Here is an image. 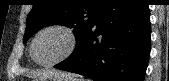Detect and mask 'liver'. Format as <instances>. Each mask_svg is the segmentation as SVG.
I'll return each instance as SVG.
<instances>
[{"label":"liver","mask_w":169,"mask_h":81,"mask_svg":"<svg viewBox=\"0 0 169 81\" xmlns=\"http://www.w3.org/2000/svg\"><path fill=\"white\" fill-rule=\"evenodd\" d=\"M31 76L33 78H43V77H48V76H62V77H65L66 75L64 73L59 72V71L44 70V71L32 72Z\"/></svg>","instance_id":"6515ba94"}]
</instances>
